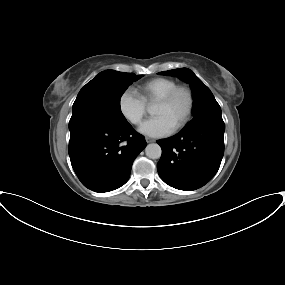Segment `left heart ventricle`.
I'll return each instance as SVG.
<instances>
[{"label":"left heart ventricle","mask_w":285,"mask_h":285,"mask_svg":"<svg viewBox=\"0 0 285 285\" xmlns=\"http://www.w3.org/2000/svg\"><path fill=\"white\" fill-rule=\"evenodd\" d=\"M188 109V97L179 93L169 105H155L154 116L164 117L173 128L183 119Z\"/></svg>","instance_id":"left-heart-ventricle-1"}]
</instances>
